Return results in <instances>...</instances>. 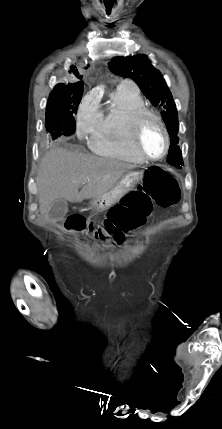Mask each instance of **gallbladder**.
<instances>
[{
    "label": "gallbladder",
    "mask_w": 222,
    "mask_h": 429,
    "mask_svg": "<svg viewBox=\"0 0 222 429\" xmlns=\"http://www.w3.org/2000/svg\"><path fill=\"white\" fill-rule=\"evenodd\" d=\"M68 211V203L66 200H58L56 202H54V204L52 205L50 211H49V216L50 218L56 220V221H60L62 220L65 215L67 214Z\"/></svg>",
    "instance_id": "gallbladder-1"
}]
</instances>
